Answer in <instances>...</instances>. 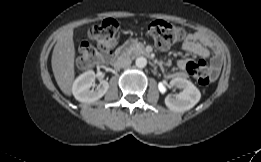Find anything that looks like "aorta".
<instances>
[{
    "mask_svg": "<svg viewBox=\"0 0 261 162\" xmlns=\"http://www.w3.org/2000/svg\"><path fill=\"white\" fill-rule=\"evenodd\" d=\"M135 65L138 68H144L147 65V59L145 57H138L135 61Z\"/></svg>",
    "mask_w": 261,
    "mask_h": 162,
    "instance_id": "aorta-1",
    "label": "aorta"
}]
</instances>
